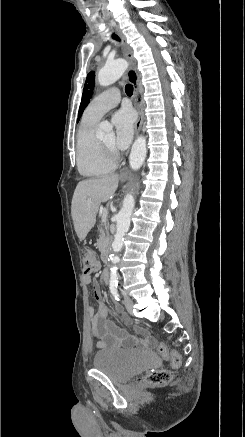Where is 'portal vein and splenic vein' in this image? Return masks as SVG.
Returning a JSON list of instances; mask_svg holds the SVG:
<instances>
[{
  "label": "portal vein and splenic vein",
  "instance_id": "obj_1",
  "mask_svg": "<svg viewBox=\"0 0 245 437\" xmlns=\"http://www.w3.org/2000/svg\"><path fill=\"white\" fill-rule=\"evenodd\" d=\"M107 215H108V211L105 209L102 212V221H106L107 220Z\"/></svg>",
  "mask_w": 245,
  "mask_h": 437
}]
</instances>
